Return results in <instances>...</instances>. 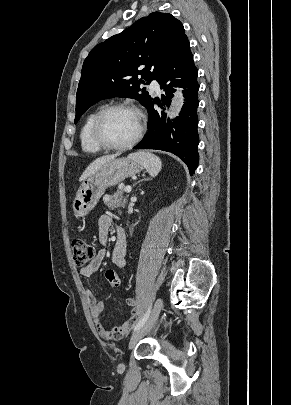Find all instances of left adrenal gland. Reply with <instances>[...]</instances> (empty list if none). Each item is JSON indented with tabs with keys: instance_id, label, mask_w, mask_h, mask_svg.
I'll return each mask as SVG.
<instances>
[{
	"instance_id": "a2214340",
	"label": "left adrenal gland",
	"mask_w": 291,
	"mask_h": 405,
	"mask_svg": "<svg viewBox=\"0 0 291 405\" xmlns=\"http://www.w3.org/2000/svg\"><path fill=\"white\" fill-rule=\"evenodd\" d=\"M143 180H147L146 178H144V179H142V180H140V181H138V182H141V181H143Z\"/></svg>"
}]
</instances>
